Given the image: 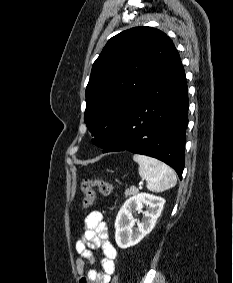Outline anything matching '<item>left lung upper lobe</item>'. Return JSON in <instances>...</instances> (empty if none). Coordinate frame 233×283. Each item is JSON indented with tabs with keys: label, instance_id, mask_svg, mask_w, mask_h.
<instances>
[{
	"label": "left lung upper lobe",
	"instance_id": "5c2ea615",
	"mask_svg": "<svg viewBox=\"0 0 233 283\" xmlns=\"http://www.w3.org/2000/svg\"><path fill=\"white\" fill-rule=\"evenodd\" d=\"M174 49L171 39L152 27H135L112 37L94 62L86 87L84 120L105 148L131 114L152 73Z\"/></svg>",
	"mask_w": 233,
	"mask_h": 283
}]
</instances>
